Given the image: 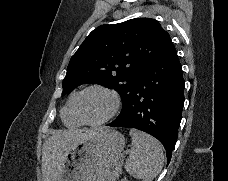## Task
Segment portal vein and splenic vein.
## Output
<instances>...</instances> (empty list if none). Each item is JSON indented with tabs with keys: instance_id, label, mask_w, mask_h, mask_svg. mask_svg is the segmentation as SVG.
<instances>
[{
	"instance_id": "1",
	"label": "portal vein and splenic vein",
	"mask_w": 228,
	"mask_h": 181,
	"mask_svg": "<svg viewBox=\"0 0 228 181\" xmlns=\"http://www.w3.org/2000/svg\"><path fill=\"white\" fill-rule=\"evenodd\" d=\"M123 157H124V155H123ZM114 167L117 169L119 166L116 164Z\"/></svg>"
}]
</instances>
